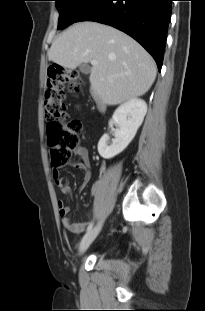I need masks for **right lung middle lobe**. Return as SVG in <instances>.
Segmentation results:
<instances>
[{
  "instance_id": "1",
  "label": "right lung middle lobe",
  "mask_w": 205,
  "mask_h": 311,
  "mask_svg": "<svg viewBox=\"0 0 205 311\" xmlns=\"http://www.w3.org/2000/svg\"><path fill=\"white\" fill-rule=\"evenodd\" d=\"M59 11L58 29L76 22L96 0H55Z\"/></svg>"
}]
</instances>
